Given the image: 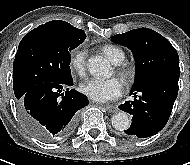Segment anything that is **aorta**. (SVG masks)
I'll use <instances>...</instances> for the list:
<instances>
[{
	"instance_id": "obj_1",
	"label": "aorta",
	"mask_w": 190,
	"mask_h": 165,
	"mask_svg": "<svg viewBox=\"0 0 190 165\" xmlns=\"http://www.w3.org/2000/svg\"><path fill=\"white\" fill-rule=\"evenodd\" d=\"M87 68L90 74L97 77H108L110 75V65L102 57L89 58ZM111 122L112 126L118 131L127 130L131 124L130 118L125 112H118L113 115Z\"/></svg>"
}]
</instances>
